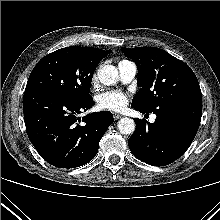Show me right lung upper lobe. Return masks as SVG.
<instances>
[{
    "label": "right lung upper lobe",
    "instance_id": "obj_1",
    "mask_svg": "<svg viewBox=\"0 0 220 220\" xmlns=\"http://www.w3.org/2000/svg\"><path fill=\"white\" fill-rule=\"evenodd\" d=\"M76 48L83 56L97 62H100L104 57H106L110 53V51L108 50L105 51L93 47L86 48L76 46Z\"/></svg>",
    "mask_w": 220,
    "mask_h": 220
}]
</instances>
